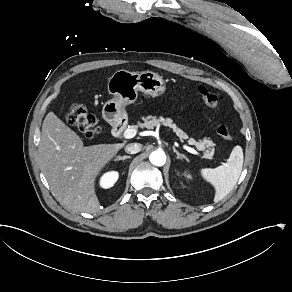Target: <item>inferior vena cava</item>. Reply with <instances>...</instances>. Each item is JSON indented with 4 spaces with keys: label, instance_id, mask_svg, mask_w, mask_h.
<instances>
[{
    "label": "inferior vena cava",
    "instance_id": "obj_1",
    "mask_svg": "<svg viewBox=\"0 0 292 292\" xmlns=\"http://www.w3.org/2000/svg\"><path fill=\"white\" fill-rule=\"evenodd\" d=\"M142 150V145L139 143H131L125 147V151L128 154H136Z\"/></svg>",
    "mask_w": 292,
    "mask_h": 292
}]
</instances>
